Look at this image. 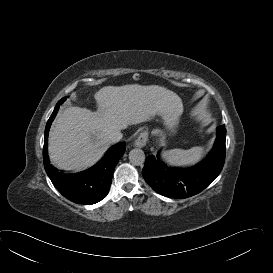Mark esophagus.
I'll return each mask as SVG.
<instances>
[{"label": "esophagus", "mask_w": 273, "mask_h": 273, "mask_svg": "<svg viewBox=\"0 0 273 273\" xmlns=\"http://www.w3.org/2000/svg\"><path fill=\"white\" fill-rule=\"evenodd\" d=\"M147 141H148V132L144 131V132L140 133V135L136 139L135 146L142 148L146 145Z\"/></svg>", "instance_id": "esophagus-1"}]
</instances>
